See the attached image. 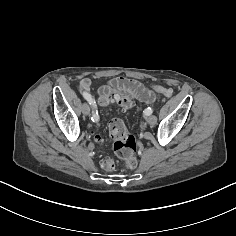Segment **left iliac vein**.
<instances>
[{
    "label": "left iliac vein",
    "instance_id": "left-iliac-vein-1",
    "mask_svg": "<svg viewBox=\"0 0 236 236\" xmlns=\"http://www.w3.org/2000/svg\"><path fill=\"white\" fill-rule=\"evenodd\" d=\"M150 125H155L157 123V117L155 115H151L147 119Z\"/></svg>",
    "mask_w": 236,
    "mask_h": 236
}]
</instances>
